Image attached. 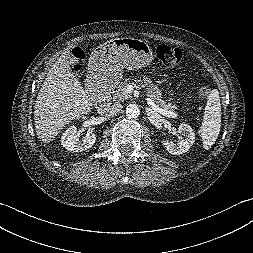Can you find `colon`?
Listing matches in <instances>:
<instances>
[{"label":"colon","instance_id":"colon-1","mask_svg":"<svg viewBox=\"0 0 253 253\" xmlns=\"http://www.w3.org/2000/svg\"><path fill=\"white\" fill-rule=\"evenodd\" d=\"M156 57L167 66H176L181 63L184 56V51L180 48L171 47L165 44H161L155 47ZM74 61L72 62L73 69L78 72L81 70V60L84 59V50L77 47L73 50ZM211 92V87L207 83H202L199 86V95L202 98H206Z\"/></svg>","mask_w":253,"mask_h":253}]
</instances>
